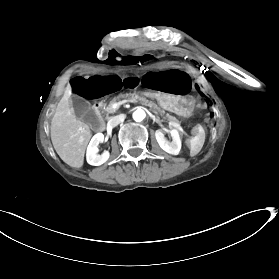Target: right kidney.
<instances>
[{"label":"right kidney","instance_id":"right-kidney-1","mask_svg":"<svg viewBox=\"0 0 279 279\" xmlns=\"http://www.w3.org/2000/svg\"><path fill=\"white\" fill-rule=\"evenodd\" d=\"M104 142V135L102 133H97L91 139L87 148V162L92 166H100L104 164L110 157V152L105 151L102 155L97 154L99 143Z\"/></svg>","mask_w":279,"mask_h":279}]
</instances>
